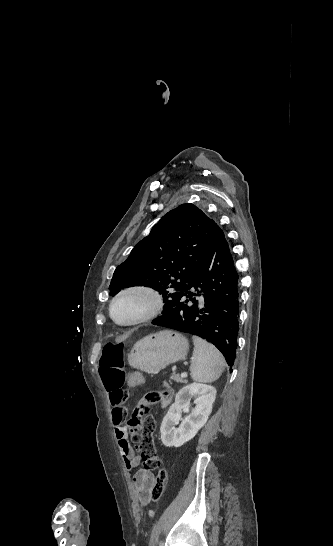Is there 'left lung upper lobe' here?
Returning <instances> with one entry per match:
<instances>
[{
  "mask_svg": "<svg viewBox=\"0 0 333 546\" xmlns=\"http://www.w3.org/2000/svg\"><path fill=\"white\" fill-rule=\"evenodd\" d=\"M217 229L218 225L192 204L171 210L116 268L110 294L126 287H151L163 294L165 314L173 308L172 298L187 288Z\"/></svg>",
  "mask_w": 333,
  "mask_h": 546,
  "instance_id": "obj_1",
  "label": "left lung upper lobe"
}]
</instances>
